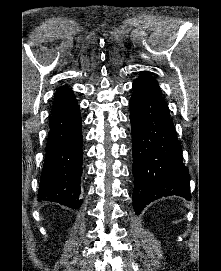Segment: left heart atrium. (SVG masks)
<instances>
[{
  "label": "left heart atrium",
  "mask_w": 221,
  "mask_h": 271,
  "mask_svg": "<svg viewBox=\"0 0 221 271\" xmlns=\"http://www.w3.org/2000/svg\"><path fill=\"white\" fill-rule=\"evenodd\" d=\"M99 94H105V92H99Z\"/></svg>",
  "instance_id": "obj_1"
}]
</instances>
